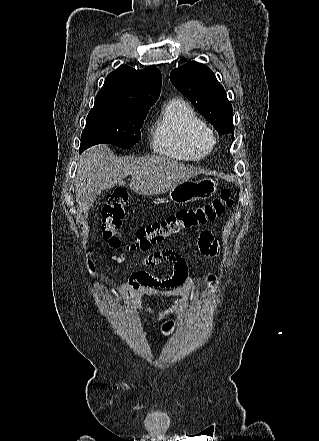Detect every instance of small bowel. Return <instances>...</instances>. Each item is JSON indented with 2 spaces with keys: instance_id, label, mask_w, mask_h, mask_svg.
<instances>
[{
  "instance_id": "small-bowel-1",
  "label": "small bowel",
  "mask_w": 319,
  "mask_h": 441,
  "mask_svg": "<svg viewBox=\"0 0 319 441\" xmlns=\"http://www.w3.org/2000/svg\"><path fill=\"white\" fill-rule=\"evenodd\" d=\"M199 248L205 255H215L219 246L212 234L208 231L200 235ZM161 262H169L173 272L168 277H159L149 271L140 270L133 272L130 277L110 292V295L120 303L130 297L131 307L156 320L170 317L182 309L186 297L191 292V283L188 276V265L185 258L177 251L166 248L155 251L145 257L143 265L153 267ZM207 283L211 291L219 293V283L213 274L207 275ZM155 298H174V303L169 308L155 313L152 309L142 305L143 296Z\"/></svg>"
}]
</instances>
